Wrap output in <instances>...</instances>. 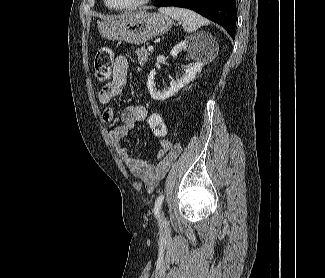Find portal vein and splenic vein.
<instances>
[{"label": "portal vein and splenic vein", "instance_id": "1", "mask_svg": "<svg viewBox=\"0 0 325 278\" xmlns=\"http://www.w3.org/2000/svg\"><path fill=\"white\" fill-rule=\"evenodd\" d=\"M148 50H149V51H152V50H153V46H152V45H149V46H148Z\"/></svg>", "mask_w": 325, "mask_h": 278}]
</instances>
